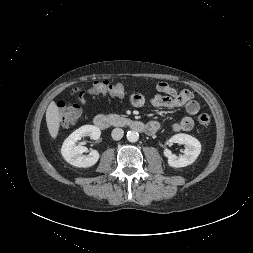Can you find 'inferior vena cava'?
I'll return each instance as SVG.
<instances>
[{
  "mask_svg": "<svg viewBox=\"0 0 253 253\" xmlns=\"http://www.w3.org/2000/svg\"><path fill=\"white\" fill-rule=\"evenodd\" d=\"M111 135L114 140H120L124 135V131L121 128H115Z\"/></svg>",
  "mask_w": 253,
  "mask_h": 253,
  "instance_id": "1",
  "label": "inferior vena cava"
}]
</instances>
